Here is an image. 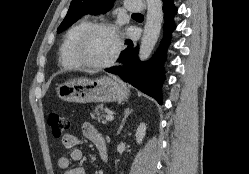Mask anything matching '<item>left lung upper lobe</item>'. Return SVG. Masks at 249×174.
Returning <instances> with one entry per match:
<instances>
[{"label":"left lung upper lobe","mask_w":249,"mask_h":174,"mask_svg":"<svg viewBox=\"0 0 249 174\" xmlns=\"http://www.w3.org/2000/svg\"><path fill=\"white\" fill-rule=\"evenodd\" d=\"M113 4V0H72L66 17L57 29L58 33L66 30L82 15L100 14L107 12Z\"/></svg>","instance_id":"left-lung-upper-lobe-1"}]
</instances>
